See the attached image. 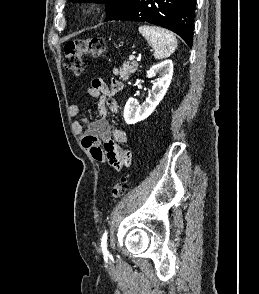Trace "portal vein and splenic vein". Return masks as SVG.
I'll return each mask as SVG.
<instances>
[{
  "instance_id": "1",
  "label": "portal vein and splenic vein",
  "mask_w": 259,
  "mask_h": 294,
  "mask_svg": "<svg viewBox=\"0 0 259 294\" xmlns=\"http://www.w3.org/2000/svg\"><path fill=\"white\" fill-rule=\"evenodd\" d=\"M135 59V56L134 55H131L130 57H129V60L130 61H133Z\"/></svg>"
}]
</instances>
